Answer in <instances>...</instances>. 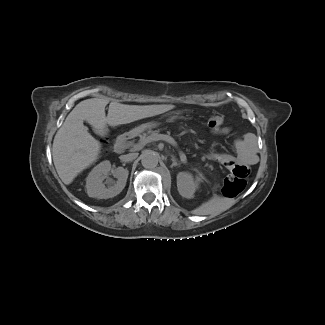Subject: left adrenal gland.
I'll return each mask as SVG.
<instances>
[{
    "mask_svg": "<svg viewBox=\"0 0 325 325\" xmlns=\"http://www.w3.org/2000/svg\"><path fill=\"white\" fill-rule=\"evenodd\" d=\"M171 160H172V165L171 167H175V166H178L180 163L177 162L176 158L172 155L171 156Z\"/></svg>",
    "mask_w": 325,
    "mask_h": 325,
    "instance_id": "a2214340",
    "label": "left adrenal gland"
}]
</instances>
